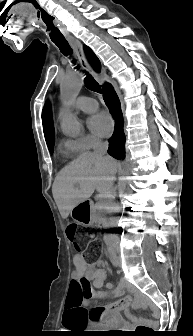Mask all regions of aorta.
Here are the masks:
<instances>
[{
  "mask_svg": "<svg viewBox=\"0 0 193 336\" xmlns=\"http://www.w3.org/2000/svg\"><path fill=\"white\" fill-rule=\"evenodd\" d=\"M83 85L79 73H72L66 77L60 86L62 109L60 124L63 133L70 137H78L81 133V123L71 111V105L78 96Z\"/></svg>",
  "mask_w": 193,
  "mask_h": 336,
  "instance_id": "aorta-1",
  "label": "aorta"
}]
</instances>
